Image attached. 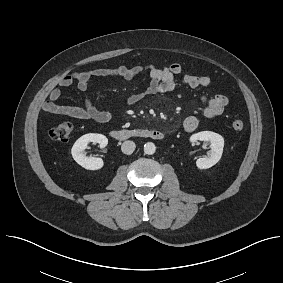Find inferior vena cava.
I'll return each instance as SVG.
<instances>
[{
    "mask_svg": "<svg viewBox=\"0 0 283 283\" xmlns=\"http://www.w3.org/2000/svg\"><path fill=\"white\" fill-rule=\"evenodd\" d=\"M136 148V145L133 141H124L121 145V150L124 154H132Z\"/></svg>",
    "mask_w": 283,
    "mask_h": 283,
    "instance_id": "inferior-vena-cava-1",
    "label": "inferior vena cava"
}]
</instances>
